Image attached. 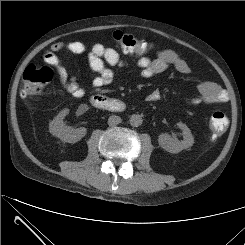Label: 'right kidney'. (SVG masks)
Masks as SVG:
<instances>
[{"instance_id":"1","label":"right kidney","mask_w":245,"mask_h":245,"mask_svg":"<svg viewBox=\"0 0 245 245\" xmlns=\"http://www.w3.org/2000/svg\"><path fill=\"white\" fill-rule=\"evenodd\" d=\"M69 113L68 109L62 110L49 124V131L52 135L60 140L68 143H76L80 141L87 133L86 128L80 127L74 129L66 126L63 122L65 116Z\"/></svg>"}]
</instances>
